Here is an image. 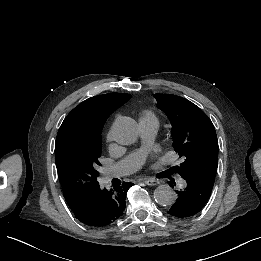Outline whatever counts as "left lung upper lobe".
<instances>
[{"label": "left lung upper lobe", "mask_w": 261, "mask_h": 261, "mask_svg": "<svg viewBox=\"0 0 261 261\" xmlns=\"http://www.w3.org/2000/svg\"><path fill=\"white\" fill-rule=\"evenodd\" d=\"M154 97L171 122L174 150L185 159L176 166L179 175H193L213 185L219 146L211 120L185 98L171 94Z\"/></svg>", "instance_id": "5c2ea615"}]
</instances>
